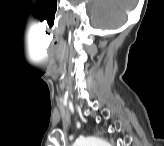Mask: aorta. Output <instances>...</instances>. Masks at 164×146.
Returning <instances> with one entry per match:
<instances>
[{"instance_id": "obj_1", "label": "aorta", "mask_w": 164, "mask_h": 146, "mask_svg": "<svg viewBox=\"0 0 164 146\" xmlns=\"http://www.w3.org/2000/svg\"><path fill=\"white\" fill-rule=\"evenodd\" d=\"M78 146H107V142L97 137H89L78 143Z\"/></svg>"}]
</instances>
